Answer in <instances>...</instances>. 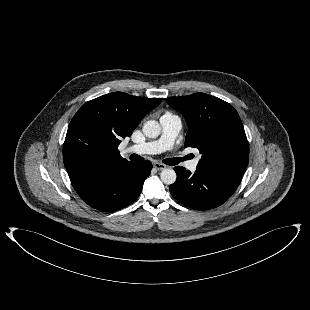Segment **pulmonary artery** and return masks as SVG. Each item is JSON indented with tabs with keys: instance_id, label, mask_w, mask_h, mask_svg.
<instances>
[{
	"instance_id": "pulmonary-artery-1",
	"label": "pulmonary artery",
	"mask_w": 310,
	"mask_h": 310,
	"mask_svg": "<svg viewBox=\"0 0 310 310\" xmlns=\"http://www.w3.org/2000/svg\"><path fill=\"white\" fill-rule=\"evenodd\" d=\"M162 133L159 139L139 145L128 146L126 153L136 154H158L169 150L177 135L179 134L182 124L180 118L172 113H165L160 118ZM199 158L189 160L185 166L190 171H195L198 167Z\"/></svg>"
}]
</instances>
